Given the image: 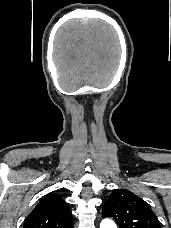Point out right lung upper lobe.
<instances>
[{"label": "right lung upper lobe", "instance_id": "cb5924a9", "mask_svg": "<svg viewBox=\"0 0 171 228\" xmlns=\"http://www.w3.org/2000/svg\"><path fill=\"white\" fill-rule=\"evenodd\" d=\"M23 228H73L72 215L60 195L51 194L29 214Z\"/></svg>", "mask_w": 171, "mask_h": 228}]
</instances>
